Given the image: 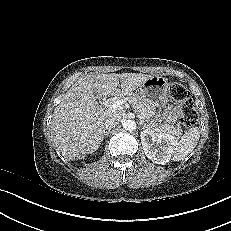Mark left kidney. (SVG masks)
I'll use <instances>...</instances> for the list:
<instances>
[{"label":"left kidney","instance_id":"5707ae66","mask_svg":"<svg viewBox=\"0 0 231 231\" xmlns=\"http://www.w3.org/2000/svg\"><path fill=\"white\" fill-rule=\"evenodd\" d=\"M141 144L148 159L157 164H166L177 144L176 137L147 129L141 132Z\"/></svg>","mask_w":231,"mask_h":231}]
</instances>
